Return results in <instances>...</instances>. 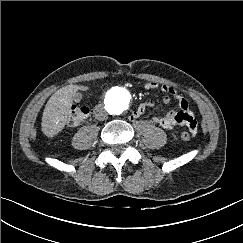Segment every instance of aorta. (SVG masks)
<instances>
[{
    "label": "aorta",
    "mask_w": 243,
    "mask_h": 243,
    "mask_svg": "<svg viewBox=\"0 0 243 243\" xmlns=\"http://www.w3.org/2000/svg\"><path fill=\"white\" fill-rule=\"evenodd\" d=\"M108 100L111 101L112 100V96H108Z\"/></svg>",
    "instance_id": "aorta-1"
}]
</instances>
